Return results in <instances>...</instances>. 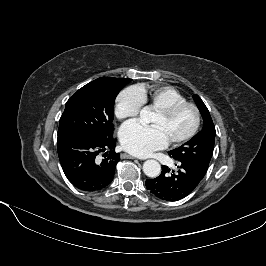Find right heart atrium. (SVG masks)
<instances>
[{"instance_id":"1","label":"right heart atrium","mask_w":266,"mask_h":266,"mask_svg":"<svg viewBox=\"0 0 266 266\" xmlns=\"http://www.w3.org/2000/svg\"><path fill=\"white\" fill-rule=\"evenodd\" d=\"M144 106V99L137 87L131 86L122 90L116 99L115 114L120 120L138 116Z\"/></svg>"}]
</instances>
